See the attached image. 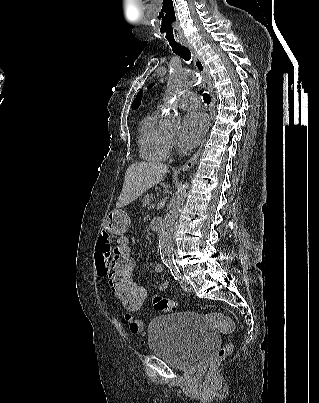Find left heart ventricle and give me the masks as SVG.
<instances>
[{
    "label": "left heart ventricle",
    "instance_id": "obj_1",
    "mask_svg": "<svg viewBox=\"0 0 319 403\" xmlns=\"http://www.w3.org/2000/svg\"><path fill=\"white\" fill-rule=\"evenodd\" d=\"M171 135H175V132H170Z\"/></svg>",
    "mask_w": 319,
    "mask_h": 403
}]
</instances>
